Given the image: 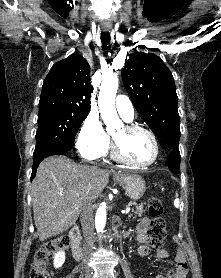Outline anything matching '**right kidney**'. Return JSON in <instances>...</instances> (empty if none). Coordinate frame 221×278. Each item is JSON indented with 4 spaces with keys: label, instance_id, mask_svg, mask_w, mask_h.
Wrapping results in <instances>:
<instances>
[{
    "label": "right kidney",
    "instance_id": "right-kidney-1",
    "mask_svg": "<svg viewBox=\"0 0 221 278\" xmlns=\"http://www.w3.org/2000/svg\"><path fill=\"white\" fill-rule=\"evenodd\" d=\"M65 262V253L64 251H59L54 256V267L60 268Z\"/></svg>",
    "mask_w": 221,
    "mask_h": 278
}]
</instances>
